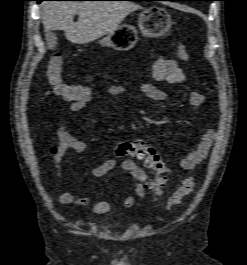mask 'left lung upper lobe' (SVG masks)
Returning <instances> with one entry per match:
<instances>
[{"instance_id":"5c2ea615","label":"left lung upper lobe","mask_w":247,"mask_h":265,"mask_svg":"<svg viewBox=\"0 0 247 265\" xmlns=\"http://www.w3.org/2000/svg\"><path fill=\"white\" fill-rule=\"evenodd\" d=\"M201 1H211V0H201Z\"/></svg>"}]
</instances>
